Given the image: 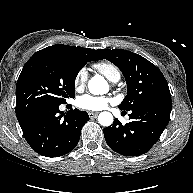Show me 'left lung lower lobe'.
<instances>
[{
  "label": "left lung lower lobe",
  "mask_w": 193,
  "mask_h": 193,
  "mask_svg": "<svg viewBox=\"0 0 193 193\" xmlns=\"http://www.w3.org/2000/svg\"><path fill=\"white\" fill-rule=\"evenodd\" d=\"M170 113L171 96L145 104L130 111L129 123L122 125L116 119L112 126L105 128V140L121 155H142L158 141L169 122Z\"/></svg>",
  "instance_id": "obj_1"
}]
</instances>
